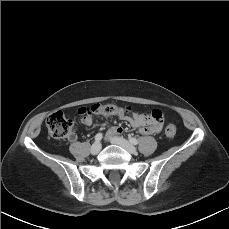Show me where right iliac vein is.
<instances>
[{
  "mask_svg": "<svg viewBox=\"0 0 229 229\" xmlns=\"http://www.w3.org/2000/svg\"><path fill=\"white\" fill-rule=\"evenodd\" d=\"M100 150H101V144L99 143V142H95L93 145H92V147H91V153L93 154V155H96V154H98L99 152H100Z\"/></svg>",
  "mask_w": 229,
  "mask_h": 229,
  "instance_id": "obj_1",
  "label": "right iliac vein"
}]
</instances>
